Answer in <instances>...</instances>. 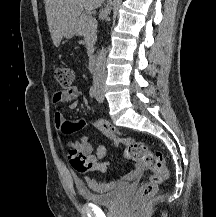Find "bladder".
<instances>
[{
	"label": "bladder",
	"instance_id": "bladder-1",
	"mask_svg": "<svg viewBox=\"0 0 216 217\" xmlns=\"http://www.w3.org/2000/svg\"><path fill=\"white\" fill-rule=\"evenodd\" d=\"M127 189V186H120L107 193H94L92 191L86 190L84 188L80 189L81 197L89 203L97 205H112L116 203L122 193Z\"/></svg>",
	"mask_w": 216,
	"mask_h": 217
}]
</instances>
